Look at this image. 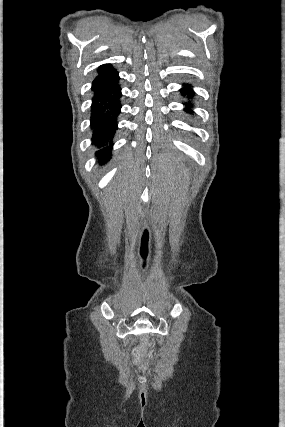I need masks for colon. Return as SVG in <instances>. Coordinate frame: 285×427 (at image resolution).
<instances>
[{
    "instance_id": "obj_1",
    "label": "colon",
    "mask_w": 285,
    "mask_h": 427,
    "mask_svg": "<svg viewBox=\"0 0 285 427\" xmlns=\"http://www.w3.org/2000/svg\"><path fill=\"white\" fill-rule=\"evenodd\" d=\"M139 352L138 351H135V354H138Z\"/></svg>"
}]
</instances>
